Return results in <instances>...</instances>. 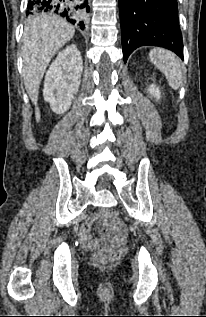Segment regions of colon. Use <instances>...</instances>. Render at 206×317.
<instances>
[{
    "label": "colon",
    "mask_w": 206,
    "mask_h": 317,
    "mask_svg": "<svg viewBox=\"0 0 206 317\" xmlns=\"http://www.w3.org/2000/svg\"><path fill=\"white\" fill-rule=\"evenodd\" d=\"M100 217L104 220H112V213L109 210H101ZM116 226H119L118 221H113ZM85 248L92 253L93 260L97 264L105 265L118 259L123 253V247L110 246L103 240L91 239Z\"/></svg>",
    "instance_id": "obj_1"
}]
</instances>
